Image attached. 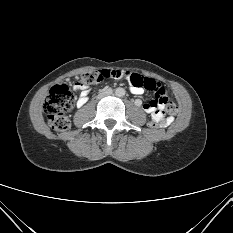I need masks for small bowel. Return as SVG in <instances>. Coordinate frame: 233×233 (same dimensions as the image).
<instances>
[{
    "label": "small bowel",
    "mask_w": 233,
    "mask_h": 233,
    "mask_svg": "<svg viewBox=\"0 0 233 233\" xmlns=\"http://www.w3.org/2000/svg\"><path fill=\"white\" fill-rule=\"evenodd\" d=\"M131 73L129 72H116V71H106L100 74L101 80H106L108 78L111 79H124L129 82V75ZM74 90L79 91V99H78V106L82 107L87 102V97L89 95V89L82 85L80 82H76L73 86ZM130 90L135 95H141L143 93L142 88L134 87L130 84ZM164 90V89H163ZM165 92V91H164ZM138 104L140 105L141 102L138 101ZM163 104H154L153 101L149 103H145L143 105V109L151 114V117L155 116L157 114L162 120H163V126H167L170 124V120L165 118V115L163 114Z\"/></svg>",
    "instance_id": "small-bowel-1"
}]
</instances>
